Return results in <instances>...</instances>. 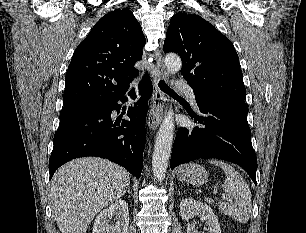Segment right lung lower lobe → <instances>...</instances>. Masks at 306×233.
<instances>
[{"instance_id":"1","label":"right lung lower lobe","mask_w":306,"mask_h":233,"mask_svg":"<svg viewBox=\"0 0 306 233\" xmlns=\"http://www.w3.org/2000/svg\"><path fill=\"white\" fill-rule=\"evenodd\" d=\"M139 86L142 97L128 109L130 121L123 120L121 126L120 121L111 119V113L113 110L119 112L117 101L125 102V96L109 104L60 118L49 159L50 179L64 163L85 156L107 158L140 177L148 99L152 94L149 77L145 76Z\"/></svg>"}]
</instances>
